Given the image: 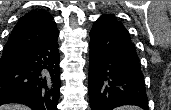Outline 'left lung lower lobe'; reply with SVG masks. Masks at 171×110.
Listing matches in <instances>:
<instances>
[{"instance_id": "0a47b994", "label": "left lung lower lobe", "mask_w": 171, "mask_h": 110, "mask_svg": "<svg viewBox=\"0 0 171 110\" xmlns=\"http://www.w3.org/2000/svg\"><path fill=\"white\" fill-rule=\"evenodd\" d=\"M140 61L129 33L102 15L90 32L88 89L92 110L137 105L148 110Z\"/></svg>"}]
</instances>
